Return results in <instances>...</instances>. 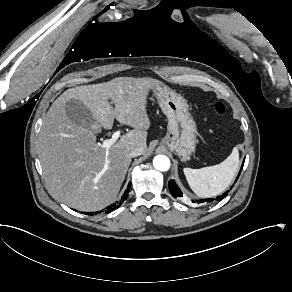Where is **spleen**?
<instances>
[{
	"mask_svg": "<svg viewBox=\"0 0 292 292\" xmlns=\"http://www.w3.org/2000/svg\"><path fill=\"white\" fill-rule=\"evenodd\" d=\"M238 150L232 149L231 154L222 163L200 169L183 168L189 187L200 197H210L225 190L235 177L238 167Z\"/></svg>",
	"mask_w": 292,
	"mask_h": 292,
	"instance_id": "3e777b00",
	"label": "spleen"
}]
</instances>
